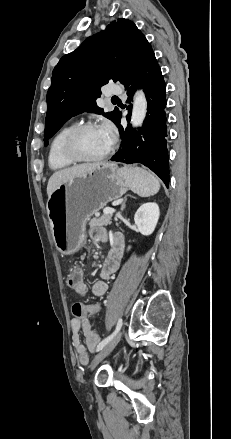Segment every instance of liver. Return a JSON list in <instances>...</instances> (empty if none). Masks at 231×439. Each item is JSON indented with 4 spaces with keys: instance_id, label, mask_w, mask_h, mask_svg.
Masks as SVG:
<instances>
[{
    "instance_id": "liver-1",
    "label": "liver",
    "mask_w": 231,
    "mask_h": 439,
    "mask_svg": "<svg viewBox=\"0 0 231 439\" xmlns=\"http://www.w3.org/2000/svg\"><path fill=\"white\" fill-rule=\"evenodd\" d=\"M101 164L103 163L79 164L54 172L53 175L50 177L47 185L48 198L62 183H65L66 181L74 177L91 172Z\"/></svg>"
}]
</instances>
